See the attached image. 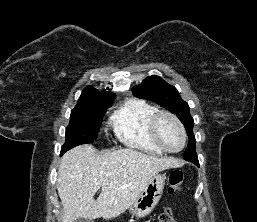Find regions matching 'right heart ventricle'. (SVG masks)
Instances as JSON below:
<instances>
[{
	"instance_id": "right-heart-ventricle-1",
	"label": "right heart ventricle",
	"mask_w": 257,
	"mask_h": 222,
	"mask_svg": "<svg viewBox=\"0 0 257 222\" xmlns=\"http://www.w3.org/2000/svg\"><path fill=\"white\" fill-rule=\"evenodd\" d=\"M158 111L156 106L143 99H129L113 112L110 124L124 145L147 153L163 154L150 133L151 120Z\"/></svg>"
}]
</instances>
